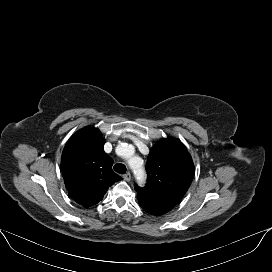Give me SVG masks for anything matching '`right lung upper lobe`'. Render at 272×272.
Here are the masks:
<instances>
[{
    "label": "right lung upper lobe",
    "instance_id": "obj_1",
    "mask_svg": "<svg viewBox=\"0 0 272 272\" xmlns=\"http://www.w3.org/2000/svg\"><path fill=\"white\" fill-rule=\"evenodd\" d=\"M105 139L97 128H83L66 143L61 167L66 188L78 204H97L108 188L122 178L113 172V160L104 152Z\"/></svg>",
    "mask_w": 272,
    "mask_h": 272
}]
</instances>
